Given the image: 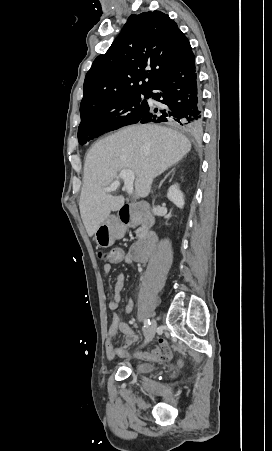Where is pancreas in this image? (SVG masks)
Masks as SVG:
<instances>
[{"instance_id":"obj_1","label":"pancreas","mask_w":272,"mask_h":451,"mask_svg":"<svg viewBox=\"0 0 272 451\" xmlns=\"http://www.w3.org/2000/svg\"><path fill=\"white\" fill-rule=\"evenodd\" d=\"M119 231H122V233L124 235L125 231H124V226H122V224H120V226H119ZM142 231H143V227H138V229H136V237H142Z\"/></svg>"}]
</instances>
